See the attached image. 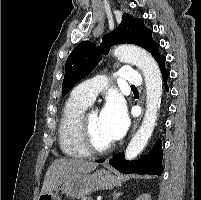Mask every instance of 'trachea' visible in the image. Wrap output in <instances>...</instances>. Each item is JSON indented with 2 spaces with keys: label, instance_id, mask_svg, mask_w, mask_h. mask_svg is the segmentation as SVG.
I'll use <instances>...</instances> for the list:
<instances>
[{
  "label": "trachea",
  "instance_id": "trachea-1",
  "mask_svg": "<svg viewBox=\"0 0 201 200\" xmlns=\"http://www.w3.org/2000/svg\"><path fill=\"white\" fill-rule=\"evenodd\" d=\"M131 88H132V89H136V87H135V86H133V85L131 86Z\"/></svg>",
  "mask_w": 201,
  "mask_h": 200
}]
</instances>
